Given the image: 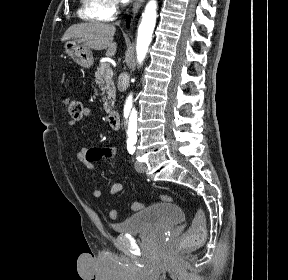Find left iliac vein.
Masks as SVG:
<instances>
[{"instance_id":"1","label":"left iliac vein","mask_w":288,"mask_h":280,"mask_svg":"<svg viewBox=\"0 0 288 280\" xmlns=\"http://www.w3.org/2000/svg\"><path fill=\"white\" fill-rule=\"evenodd\" d=\"M136 167H137L138 169L141 168V167H142L141 163L136 162Z\"/></svg>"}]
</instances>
